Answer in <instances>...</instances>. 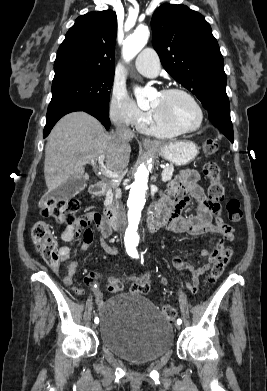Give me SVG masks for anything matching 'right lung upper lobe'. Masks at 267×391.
I'll return each instance as SVG.
<instances>
[{
    "instance_id": "right-lung-upper-lobe-1",
    "label": "right lung upper lobe",
    "mask_w": 267,
    "mask_h": 391,
    "mask_svg": "<svg viewBox=\"0 0 267 391\" xmlns=\"http://www.w3.org/2000/svg\"><path fill=\"white\" fill-rule=\"evenodd\" d=\"M116 33L114 11L79 16L58 49L55 76L76 71L114 73Z\"/></svg>"
}]
</instances>
